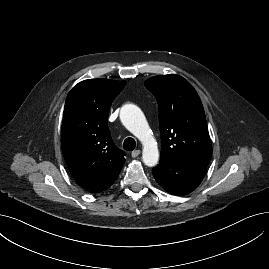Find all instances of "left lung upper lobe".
<instances>
[{"label":"left lung upper lobe","mask_w":269,"mask_h":269,"mask_svg":"<svg viewBox=\"0 0 269 269\" xmlns=\"http://www.w3.org/2000/svg\"><path fill=\"white\" fill-rule=\"evenodd\" d=\"M157 99L161 133V156L207 167L211 141L201 100L181 76L168 74L145 81Z\"/></svg>","instance_id":"5c2ea615"}]
</instances>
